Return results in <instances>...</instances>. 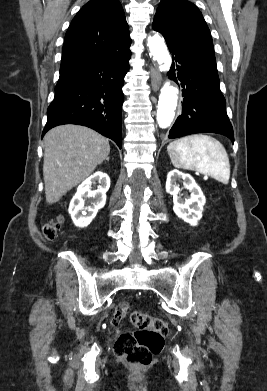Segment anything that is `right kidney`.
I'll return each mask as SVG.
<instances>
[{
  "label": "right kidney",
  "instance_id": "ca27d5eb",
  "mask_svg": "<svg viewBox=\"0 0 267 391\" xmlns=\"http://www.w3.org/2000/svg\"><path fill=\"white\" fill-rule=\"evenodd\" d=\"M98 181L97 190L92 191L91 185ZM110 187V178L107 174L96 172L87 178L78 186L77 192L73 196L69 213L74 224L78 227H87L96 216L99 209L103 208L106 203V192ZM92 198L88 206H85L84 198Z\"/></svg>",
  "mask_w": 267,
  "mask_h": 391
}]
</instances>
